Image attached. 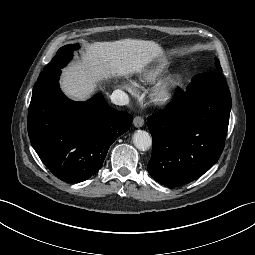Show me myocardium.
Here are the masks:
<instances>
[{
	"label": "myocardium",
	"mask_w": 255,
	"mask_h": 255,
	"mask_svg": "<svg viewBox=\"0 0 255 255\" xmlns=\"http://www.w3.org/2000/svg\"><path fill=\"white\" fill-rule=\"evenodd\" d=\"M180 86L179 75H168L154 86L149 94V100L155 106H164L173 100Z\"/></svg>",
	"instance_id": "f54148a6"
}]
</instances>
